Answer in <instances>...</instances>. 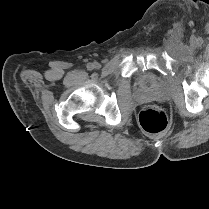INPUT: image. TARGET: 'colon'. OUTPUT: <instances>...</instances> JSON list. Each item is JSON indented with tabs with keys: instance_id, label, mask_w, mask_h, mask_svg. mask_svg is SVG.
Segmentation results:
<instances>
[{
	"instance_id": "1",
	"label": "colon",
	"mask_w": 209,
	"mask_h": 209,
	"mask_svg": "<svg viewBox=\"0 0 209 209\" xmlns=\"http://www.w3.org/2000/svg\"><path fill=\"white\" fill-rule=\"evenodd\" d=\"M139 121L145 131L153 134L165 131L169 126L166 111L159 107L143 109L140 112Z\"/></svg>"
}]
</instances>
